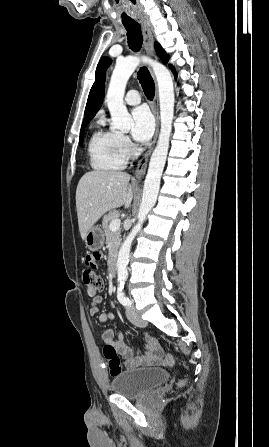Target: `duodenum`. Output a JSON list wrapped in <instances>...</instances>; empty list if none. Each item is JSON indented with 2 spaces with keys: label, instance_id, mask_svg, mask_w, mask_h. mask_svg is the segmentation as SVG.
Masks as SVG:
<instances>
[{
  "label": "duodenum",
  "instance_id": "obj_1",
  "mask_svg": "<svg viewBox=\"0 0 269 447\" xmlns=\"http://www.w3.org/2000/svg\"><path fill=\"white\" fill-rule=\"evenodd\" d=\"M116 263H117V255L116 253H113L109 261V273L112 277H114L117 272Z\"/></svg>",
  "mask_w": 269,
  "mask_h": 447
}]
</instances>
